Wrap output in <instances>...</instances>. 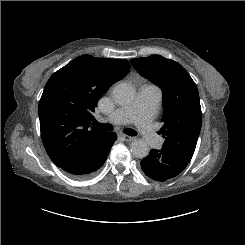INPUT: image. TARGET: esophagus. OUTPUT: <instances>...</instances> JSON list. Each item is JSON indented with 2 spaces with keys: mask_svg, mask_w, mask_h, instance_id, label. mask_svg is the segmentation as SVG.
<instances>
[{
  "mask_svg": "<svg viewBox=\"0 0 245 245\" xmlns=\"http://www.w3.org/2000/svg\"><path fill=\"white\" fill-rule=\"evenodd\" d=\"M118 136L121 137L124 141H130L133 139L131 136L124 133H118Z\"/></svg>",
  "mask_w": 245,
  "mask_h": 245,
  "instance_id": "1",
  "label": "esophagus"
}]
</instances>
